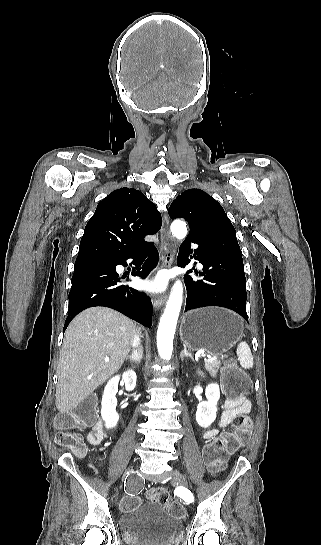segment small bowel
<instances>
[{
  "label": "small bowel",
  "instance_id": "c3829d8e",
  "mask_svg": "<svg viewBox=\"0 0 321 545\" xmlns=\"http://www.w3.org/2000/svg\"><path fill=\"white\" fill-rule=\"evenodd\" d=\"M251 410V402L244 396L236 399L227 398L223 403V412L220 416L219 427H226L240 414L248 413ZM219 433L218 429L205 431L203 437L212 439ZM107 437V431L104 429L101 421L95 423L88 434V440L92 444H99Z\"/></svg>",
  "mask_w": 321,
  "mask_h": 545
}]
</instances>
